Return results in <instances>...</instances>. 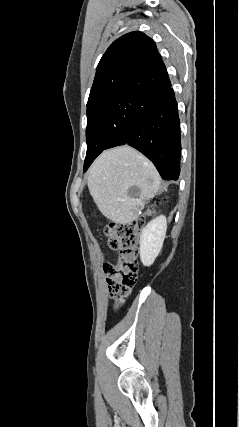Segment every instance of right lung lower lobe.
<instances>
[{
	"label": "right lung lower lobe",
	"instance_id": "98d812e1",
	"mask_svg": "<svg viewBox=\"0 0 239 427\" xmlns=\"http://www.w3.org/2000/svg\"><path fill=\"white\" fill-rule=\"evenodd\" d=\"M128 144L143 153L164 180H177L180 174L181 134L177 102L171 85L143 97L134 114Z\"/></svg>",
	"mask_w": 239,
	"mask_h": 427
}]
</instances>
